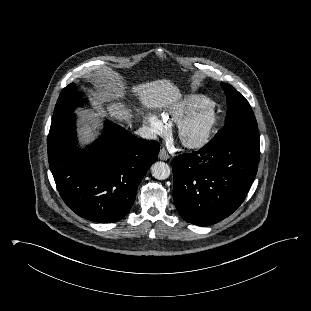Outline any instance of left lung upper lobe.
Segmentation results:
<instances>
[{
	"label": "left lung upper lobe",
	"mask_w": 311,
	"mask_h": 311,
	"mask_svg": "<svg viewBox=\"0 0 311 311\" xmlns=\"http://www.w3.org/2000/svg\"><path fill=\"white\" fill-rule=\"evenodd\" d=\"M221 86L227 98V112L225 125L214 138L219 139L234 132L258 134L257 121L245 97L226 83H221Z\"/></svg>",
	"instance_id": "1"
}]
</instances>
